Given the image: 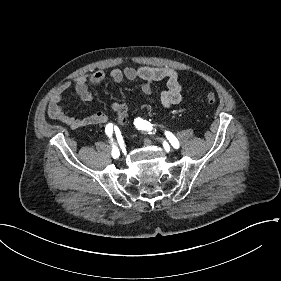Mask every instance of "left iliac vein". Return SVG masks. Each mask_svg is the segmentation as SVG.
I'll return each instance as SVG.
<instances>
[{
  "instance_id": "4c4485c4",
  "label": "left iliac vein",
  "mask_w": 281,
  "mask_h": 281,
  "mask_svg": "<svg viewBox=\"0 0 281 281\" xmlns=\"http://www.w3.org/2000/svg\"><path fill=\"white\" fill-rule=\"evenodd\" d=\"M157 139H158V140H161V139H159V138H157ZM163 145H164V147H165V149H166L167 151H170V150H171V147H170V145H169L167 142H164Z\"/></svg>"
}]
</instances>
